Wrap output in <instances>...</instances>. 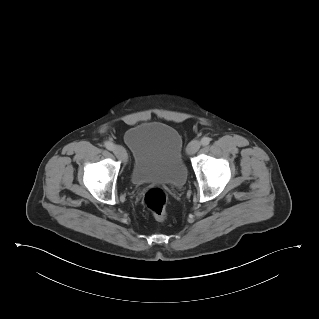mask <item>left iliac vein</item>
<instances>
[{"label":"left iliac vein","instance_id":"left-iliac-vein-1","mask_svg":"<svg viewBox=\"0 0 319 319\" xmlns=\"http://www.w3.org/2000/svg\"><path fill=\"white\" fill-rule=\"evenodd\" d=\"M200 146H201L200 141H198V140H193V141H191V142L188 144L187 153H188L189 155L195 154V153L199 150Z\"/></svg>","mask_w":319,"mask_h":319}]
</instances>
